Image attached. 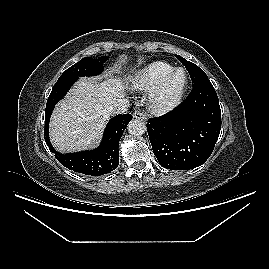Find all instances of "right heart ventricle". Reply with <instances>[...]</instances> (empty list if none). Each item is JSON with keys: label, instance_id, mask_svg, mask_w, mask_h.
Listing matches in <instances>:
<instances>
[{"label": "right heart ventricle", "instance_id": "1", "mask_svg": "<svg viewBox=\"0 0 269 269\" xmlns=\"http://www.w3.org/2000/svg\"><path fill=\"white\" fill-rule=\"evenodd\" d=\"M174 69L173 65L165 61L151 62L130 76L128 80V88L134 92L151 91Z\"/></svg>", "mask_w": 269, "mask_h": 269}]
</instances>
